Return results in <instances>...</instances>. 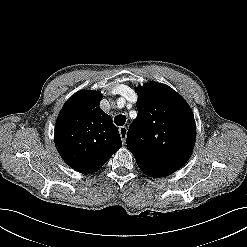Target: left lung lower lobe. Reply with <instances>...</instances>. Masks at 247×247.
<instances>
[{"label":"left lung lower lobe","instance_id":"1","mask_svg":"<svg viewBox=\"0 0 247 247\" xmlns=\"http://www.w3.org/2000/svg\"><path fill=\"white\" fill-rule=\"evenodd\" d=\"M137 164L144 174L151 176V177H164L176 171L172 169L151 166V165L141 163V162H137Z\"/></svg>","mask_w":247,"mask_h":247}]
</instances>
